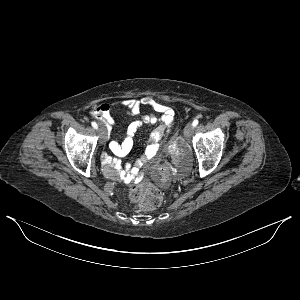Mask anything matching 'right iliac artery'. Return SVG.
<instances>
[{
	"instance_id": "1",
	"label": "right iliac artery",
	"mask_w": 300,
	"mask_h": 300,
	"mask_svg": "<svg viewBox=\"0 0 300 300\" xmlns=\"http://www.w3.org/2000/svg\"><path fill=\"white\" fill-rule=\"evenodd\" d=\"M91 125H92V127H93V128H95V129H97V128H98V125H97V123H96V122H91Z\"/></svg>"
}]
</instances>
